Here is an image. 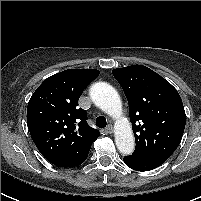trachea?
Instances as JSON below:
<instances>
[{
	"label": "trachea",
	"instance_id": "1",
	"mask_svg": "<svg viewBox=\"0 0 201 201\" xmlns=\"http://www.w3.org/2000/svg\"><path fill=\"white\" fill-rule=\"evenodd\" d=\"M96 125L100 128H104L107 125L106 119L103 116H99L96 119Z\"/></svg>",
	"mask_w": 201,
	"mask_h": 201
}]
</instances>
